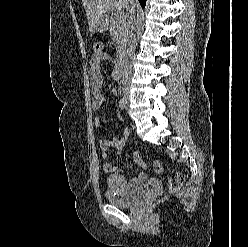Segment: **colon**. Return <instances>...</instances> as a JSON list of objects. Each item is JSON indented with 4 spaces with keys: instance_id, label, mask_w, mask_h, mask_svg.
<instances>
[{
    "instance_id": "1",
    "label": "colon",
    "mask_w": 248,
    "mask_h": 247,
    "mask_svg": "<svg viewBox=\"0 0 248 247\" xmlns=\"http://www.w3.org/2000/svg\"><path fill=\"white\" fill-rule=\"evenodd\" d=\"M103 49V44L100 41H97L93 45L94 52H100ZM134 161L136 164H138L140 167L145 168L146 164L143 161L142 157L138 152H135L133 154ZM152 168L156 173H161L163 171V164L160 160H154L152 162ZM185 182V177L183 174L177 173L171 176L169 181V191L171 193L177 192L182 188Z\"/></svg>"
}]
</instances>
